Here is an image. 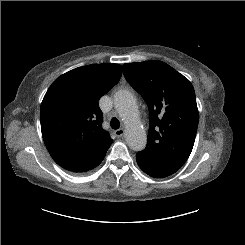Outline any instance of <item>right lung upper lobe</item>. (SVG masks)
Here are the masks:
<instances>
[{"mask_svg":"<svg viewBox=\"0 0 245 245\" xmlns=\"http://www.w3.org/2000/svg\"><path fill=\"white\" fill-rule=\"evenodd\" d=\"M121 73L118 64L79 67L58 77L46 92L41 131L51 157L61 167L79 173L112 144L102 128L98 101L118 83Z\"/></svg>","mask_w":245,"mask_h":245,"instance_id":"right-lung-upper-lobe-1","label":"right lung upper lobe"}]
</instances>
